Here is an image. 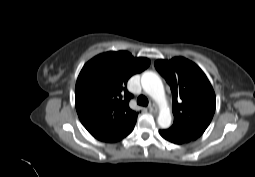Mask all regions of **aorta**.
<instances>
[{
    "mask_svg": "<svg viewBox=\"0 0 255 177\" xmlns=\"http://www.w3.org/2000/svg\"><path fill=\"white\" fill-rule=\"evenodd\" d=\"M141 84L144 91L151 96L161 108L158 116L159 126L168 128L171 125V114L167 107L162 80L156 73L147 71L144 72L141 77Z\"/></svg>",
    "mask_w": 255,
    "mask_h": 177,
    "instance_id": "1",
    "label": "aorta"
}]
</instances>
